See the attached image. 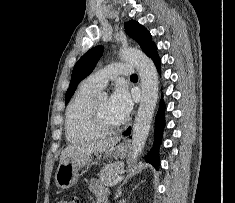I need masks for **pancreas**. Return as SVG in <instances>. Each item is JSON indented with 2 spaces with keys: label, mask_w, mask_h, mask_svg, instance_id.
<instances>
[{
  "label": "pancreas",
  "mask_w": 235,
  "mask_h": 203,
  "mask_svg": "<svg viewBox=\"0 0 235 203\" xmlns=\"http://www.w3.org/2000/svg\"><path fill=\"white\" fill-rule=\"evenodd\" d=\"M123 171V165L121 163L111 164L104 166L100 173V180L104 184H110L117 176Z\"/></svg>",
  "instance_id": "1"
}]
</instances>
